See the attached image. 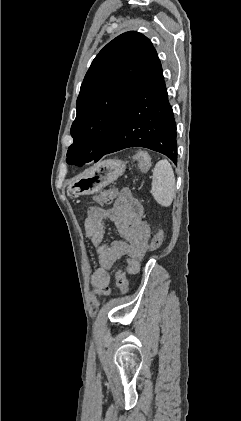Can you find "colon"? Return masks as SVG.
Returning <instances> with one entry per match:
<instances>
[{"label":"colon","instance_id":"colon-1","mask_svg":"<svg viewBox=\"0 0 241 421\" xmlns=\"http://www.w3.org/2000/svg\"><path fill=\"white\" fill-rule=\"evenodd\" d=\"M135 161L139 165L140 169L145 171L148 169L150 165V160L147 154L145 153H137L134 157ZM117 196V191L115 189H107L103 190L97 197L96 200L100 204H109L111 203L114 198ZM163 242V233L162 231L158 230L155 235L152 237L149 243V250L154 251L157 250ZM127 270L129 273L134 274L137 273L139 270V261L135 258H128L126 261ZM115 282L118 289L125 293L128 289V279L127 275L123 270H118L115 274Z\"/></svg>","mask_w":241,"mask_h":421}]
</instances>
